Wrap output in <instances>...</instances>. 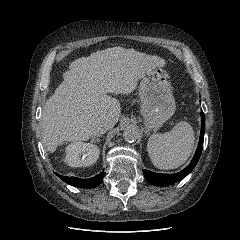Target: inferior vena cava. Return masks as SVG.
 <instances>
[{"label": "inferior vena cava", "instance_id": "inferior-vena-cava-1", "mask_svg": "<svg viewBox=\"0 0 240 240\" xmlns=\"http://www.w3.org/2000/svg\"><path fill=\"white\" fill-rule=\"evenodd\" d=\"M110 128L109 123L107 120L100 122L97 127L95 128L93 135H100L105 133Z\"/></svg>", "mask_w": 240, "mask_h": 240}]
</instances>
